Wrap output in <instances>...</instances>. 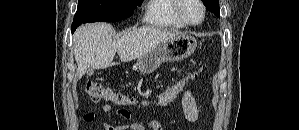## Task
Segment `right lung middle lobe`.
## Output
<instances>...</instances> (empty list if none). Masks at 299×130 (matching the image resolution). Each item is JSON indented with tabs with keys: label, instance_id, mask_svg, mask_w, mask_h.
I'll return each instance as SVG.
<instances>
[{
	"label": "right lung middle lobe",
	"instance_id": "dd1d6c3e",
	"mask_svg": "<svg viewBox=\"0 0 299 130\" xmlns=\"http://www.w3.org/2000/svg\"><path fill=\"white\" fill-rule=\"evenodd\" d=\"M144 0H78L74 23L116 22L130 17Z\"/></svg>",
	"mask_w": 299,
	"mask_h": 130
}]
</instances>
